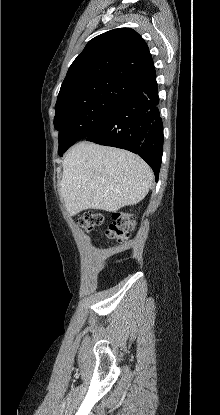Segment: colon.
Here are the masks:
<instances>
[{
    "instance_id": "obj_1",
    "label": "colon",
    "mask_w": 220,
    "mask_h": 415,
    "mask_svg": "<svg viewBox=\"0 0 220 415\" xmlns=\"http://www.w3.org/2000/svg\"><path fill=\"white\" fill-rule=\"evenodd\" d=\"M77 222L84 231L91 232L103 223V216L100 213L89 211L78 218ZM134 227L135 221L129 213L124 211L115 212L106 235L117 241H123L130 236Z\"/></svg>"
}]
</instances>
